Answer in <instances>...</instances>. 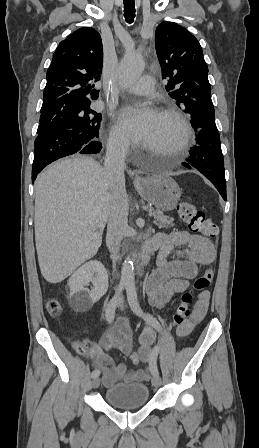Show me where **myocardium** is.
Masks as SVG:
<instances>
[{"label":"myocardium","mask_w":259,"mask_h":448,"mask_svg":"<svg viewBox=\"0 0 259 448\" xmlns=\"http://www.w3.org/2000/svg\"><path fill=\"white\" fill-rule=\"evenodd\" d=\"M159 116L173 117L179 125V135L176 141L163 151L165 154L180 157L189 142L191 127L183 112L173 104L166 103L160 107Z\"/></svg>","instance_id":"obj_1"}]
</instances>
